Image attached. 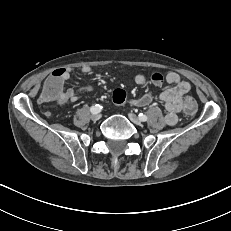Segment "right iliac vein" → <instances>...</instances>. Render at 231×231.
<instances>
[{
  "label": "right iliac vein",
  "mask_w": 231,
  "mask_h": 231,
  "mask_svg": "<svg viewBox=\"0 0 231 231\" xmlns=\"http://www.w3.org/2000/svg\"><path fill=\"white\" fill-rule=\"evenodd\" d=\"M101 118V114H99V113H97V114H92L91 115V119L93 120V121H97V120H99Z\"/></svg>",
  "instance_id": "obj_1"
}]
</instances>
